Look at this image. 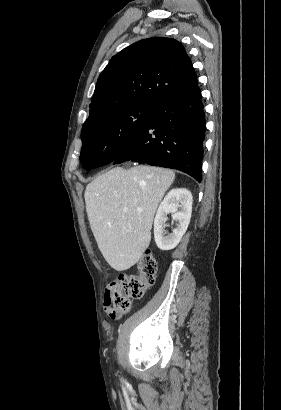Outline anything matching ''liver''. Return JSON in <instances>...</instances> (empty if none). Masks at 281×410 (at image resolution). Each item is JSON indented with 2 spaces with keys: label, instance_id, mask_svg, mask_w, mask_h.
I'll return each instance as SVG.
<instances>
[{
  "label": "liver",
  "instance_id": "1",
  "mask_svg": "<svg viewBox=\"0 0 281 410\" xmlns=\"http://www.w3.org/2000/svg\"><path fill=\"white\" fill-rule=\"evenodd\" d=\"M174 179L172 170L138 165L128 170L113 168L86 186L90 227L113 269L124 271L140 260L150 245L156 209Z\"/></svg>",
  "mask_w": 281,
  "mask_h": 410
}]
</instances>
